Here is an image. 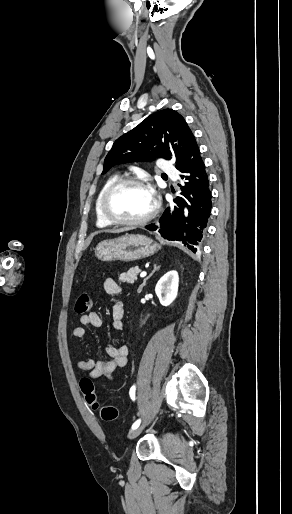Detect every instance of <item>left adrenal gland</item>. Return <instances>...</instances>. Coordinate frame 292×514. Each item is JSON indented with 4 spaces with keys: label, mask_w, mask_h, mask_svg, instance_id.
I'll use <instances>...</instances> for the list:
<instances>
[{
    "label": "left adrenal gland",
    "mask_w": 292,
    "mask_h": 514,
    "mask_svg": "<svg viewBox=\"0 0 292 514\" xmlns=\"http://www.w3.org/2000/svg\"><path fill=\"white\" fill-rule=\"evenodd\" d=\"M160 268H161V266H157V264H154L153 272H151V274H149V276H147V278H145V280H143V284H141V286H139L138 292H142V288H143V286H145L147 280H149V278H151V276H153V274H155V272H157V270H160Z\"/></svg>",
    "instance_id": "obj_1"
}]
</instances>
